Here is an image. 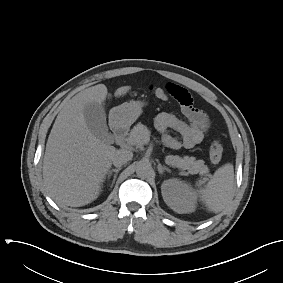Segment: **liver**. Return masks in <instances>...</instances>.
I'll return each mask as SVG.
<instances>
[{"instance_id": "obj_1", "label": "liver", "mask_w": 283, "mask_h": 283, "mask_svg": "<svg viewBox=\"0 0 283 283\" xmlns=\"http://www.w3.org/2000/svg\"><path fill=\"white\" fill-rule=\"evenodd\" d=\"M131 89L123 86L115 97ZM107 87L98 84L64 102L49 134L43 158V180L50 196L71 207L87 205L97 199L117 151L96 137L87 127L84 108L103 104Z\"/></svg>"}]
</instances>
